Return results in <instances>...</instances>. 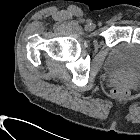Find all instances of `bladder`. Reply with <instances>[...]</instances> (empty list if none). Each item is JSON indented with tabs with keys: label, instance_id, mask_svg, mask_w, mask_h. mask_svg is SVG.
I'll return each mask as SVG.
<instances>
[{
	"label": "bladder",
	"instance_id": "1",
	"mask_svg": "<svg viewBox=\"0 0 140 140\" xmlns=\"http://www.w3.org/2000/svg\"><path fill=\"white\" fill-rule=\"evenodd\" d=\"M107 68L126 76H140V43L120 41L110 48Z\"/></svg>",
	"mask_w": 140,
	"mask_h": 140
}]
</instances>
